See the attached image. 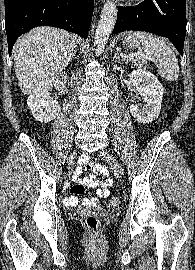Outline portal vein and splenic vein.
I'll return each mask as SVG.
<instances>
[{
    "mask_svg": "<svg viewBox=\"0 0 195 270\" xmlns=\"http://www.w3.org/2000/svg\"><path fill=\"white\" fill-rule=\"evenodd\" d=\"M120 55H121L122 58L132 57V58H139L140 59V58L145 57L144 54H139V53L138 54L137 53L136 54H132V55H126L124 53H121Z\"/></svg>",
    "mask_w": 195,
    "mask_h": 270,
    "instance_id": "1",
    "label": "portal vein and splenic vein"
}]
</instances>
